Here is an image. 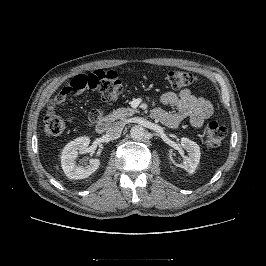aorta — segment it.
I'll use <instances>...</instances> for the list:
<instances>
[{
  "mask_svg": "<svg viewBox=\"0 0 266 266\" xmlns=\"http://www.w3.org/2000/svg\"><path fill=\"white\" fill-rule=\"evenodd\" d=\"M145 135V129L141 125H135L130 130V136L134 140H142Z\"/></svg>",
  "mask_w": 266,
  "mask_h": 266,
  "instance_id": "1",
  "label": "aorta"
}]
</instances>
